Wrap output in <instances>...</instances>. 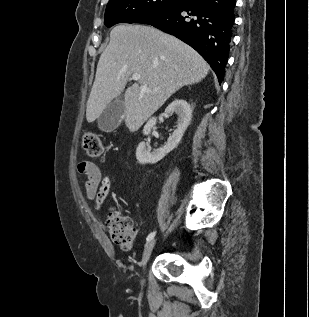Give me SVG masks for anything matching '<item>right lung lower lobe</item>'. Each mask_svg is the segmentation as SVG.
<instances>
[{"label": "right lung lower lobe", "instance_id": "98d812e1", "mask_svg": "<svg viewBox=\"0 0 309 317\" xmlns=\"http://www.w3.org/2000/svg\"><path fill=\"white\" fill-rule=\"evenodd\" d=\"M235 0H187L182 5L139 18L193 47L222 82L235 20Z\"/></svg>", "mask_w": 309, "mask_h": 317}]
</instances>
